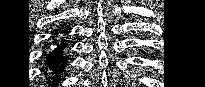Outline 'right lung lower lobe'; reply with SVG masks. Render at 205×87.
<instances>
[{
  "label": "right lung lower lobe",
  "mask_w": 205,
  "mask_h": 87,
  "mask_svg": "<svg viewBox=\"0 0 205 87\" xmlns=\"http://www.w3.org/2000/svg\"><path fill=\"white\" fill-rule=\"evenodd\" d=\"M69 31L66 29H57L55 31V36L53 37V43L46 54L45 58V71L51 74L52 77V86L57 87L60 82V77L64 72L65 67L67 66V58L65 57L64 49L67 47L65 42V34ZM58 34H60L58 36ZM64 34V36H62Z\"/></svg>",
  "instance_id": "obj_1"
}]
</instances>
